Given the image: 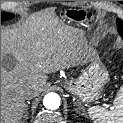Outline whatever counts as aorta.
Here are the masks:
<instances>
[{
	"label": "aorta",
	"instance_id": "aorta-1",
	"mask_svg": "<svg viewBox=\"0 0 123 123\" xmlns=\"http://www.w3.org/2000/svg\"><path fill=\"white\" fill-rule=\"evenodd\" d=\"M60 96L56 93H48L43 99V105L49 110H56L60 107Z\"/></svg>",
	"mask_w": 123,
	"mask_h": 123
}]
</instances>
